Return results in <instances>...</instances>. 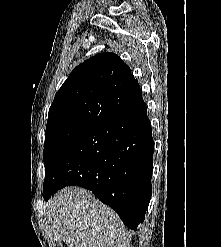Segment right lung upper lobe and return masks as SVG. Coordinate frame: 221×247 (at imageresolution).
Wrapping results in <instances>:
<instances>
[{
    "label": "right lung upper lobe",
    "mask_w": 221,
    "mask_h": 247,
    "mask_svg": "<svg viewBox=\"0 0 221 247\" xmlns=\"http://www.w3.org/2000/svg\"><path fill=\"white\" fill-rule=\"evenodd\" d=\"M143 102L131 69L115 53L97 54L69 75L49 109L47 129L93 127Z\"/></svg>",
    "instance_id": "right-lung-upper-lobe-1"
}]
</instances>
